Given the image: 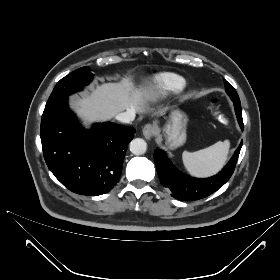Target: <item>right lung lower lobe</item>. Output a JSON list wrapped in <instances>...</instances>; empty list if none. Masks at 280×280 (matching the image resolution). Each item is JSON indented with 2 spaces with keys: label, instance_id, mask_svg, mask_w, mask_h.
<instances>
[{
  "label": "right lung lower lobe",
  "instance_id": "obj_1",
  "mask_svg": "<svg viewBox=\"0 0 280 280\" xmlns=\"http://www.w3.org/2000/svg\"><path fill=\"white\" fill-rule=\"evenodd\" d=\"M135 129L114 123L82 129L67 98L45 106L41 142L46 164L70 191L86 196L108 193L117 184Z\"/></svg>",
  "mask_w": 280,
  "mask_h": 280
}]
</instances>
